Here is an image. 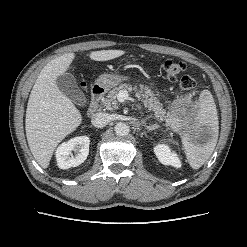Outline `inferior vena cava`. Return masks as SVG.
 <instances>
[{"label":"inferior vena cava","mask_w":247,"mask_h":247,"mask_svg":"<svg viewBox=\"0 0 247 247\" xmlns=\"http://www.w3.org/2000/svg\"><path fill=\"white\" fill-rule=\"evenodd\" d=\"M109 122V116L108 114L99 112L96 113L92 116L91 119V123L93 126L97 127V128H102L104 126H106Z\"/></svg>","instance_id":"obj_1"}]
</instances>
